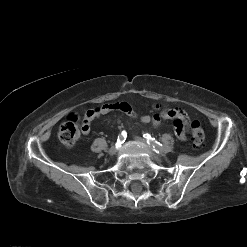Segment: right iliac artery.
<instances>
[{
	"label": "right iliac artery",
	"instance_id": "1",
	"mask_svg": "<svg viewBox=\"0 0 247 247\" xmlns=\"http://www.w3.org/2000/svg\"><path fill=\"white\" fill-rule=\"evenodd\" d=\"M126 132L125 131H122L119 135H118V138H117V143H116V146L119 147L121 146V144H123L126 140Z\"/></svg>",
	"mask_w": 247,
	"mask_h": 247
}]
</instances>
